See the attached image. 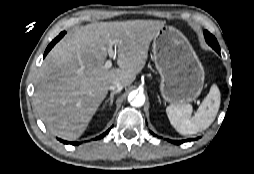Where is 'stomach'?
<instances>
[{
	"label": "stomach",
	"mask_w": 254,
	"mask_h": 174,
	"mask_svg": "<svg viewBox=\"0 0 254 174\" xmlns=\"http://www.w3.org/2000/svg\"><path fill=\"white\" fill-rule=\"evenodd\" d=\"M152 47L162 97L171 105L194 101L202 91L205 73L188 39L173 26L164 25Z\"/></svg>",
	"instance_id": "0dacf381"
}]
</instances>
